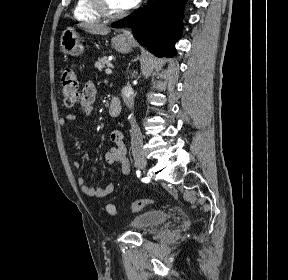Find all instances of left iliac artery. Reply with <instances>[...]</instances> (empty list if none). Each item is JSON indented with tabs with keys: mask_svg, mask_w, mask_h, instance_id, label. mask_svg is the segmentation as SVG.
I'll return each mask as SVG.
<instances>
[{
	"mask_svg": "<svg viewBox=\"0 0 288 280\" xmlns=\"http://www.w3.org/2000/svg\"><path fill=\"white\" fill-rule=\"evenodd\" d=\"M136 173H137L136 178L141 181V180L143 179V175L140 174V171H139V170H137Z\"/></svg>",
	"mask_w": 288,
	"mask_h": 280,
	"instance_id": "left-iliac-artery-1",
	"label": "left iliac artery"
}]
</instances>
